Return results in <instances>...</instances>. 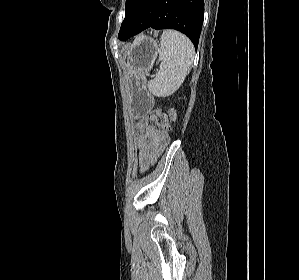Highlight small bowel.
<instances>
[{"label":"small bowel","mask_w":299,"mask_h":280,"mask_svg":"<svg viewBox=\"0 0 299 280\" xmlns=\"http://www.w3.org/2000/svg\"><path fill=\"white\" fill-rule=\"evenodd\" d=\"M137 146L139 149L140 166L146 169L167 145L168 132L158 129L149 123H141L136 127Z\"/></svg>","instance_id":"small-bowel-1"}]
</instances>
